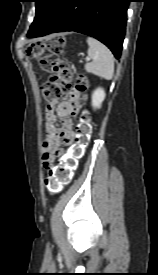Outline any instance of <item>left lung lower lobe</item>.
I'll use <instances>...</instances> for the list:
<instances>
[{
    "mask_svg": "<svg viewBox=\"0 0 158 275\" xmlns=\"http://www.w3.org/2000/svg\"><path fill=\"white\" fill-rule=\"evenodd\" d=\"M130 0H62L49 21L36 34L75 31L95 37L119 59Z\"/></svg>",
    "mask_w": 158,
    "mask_h": 275,
    "instance_id": "obj_1",
    "label": "left lung lower lobe"
}]
</instances>
